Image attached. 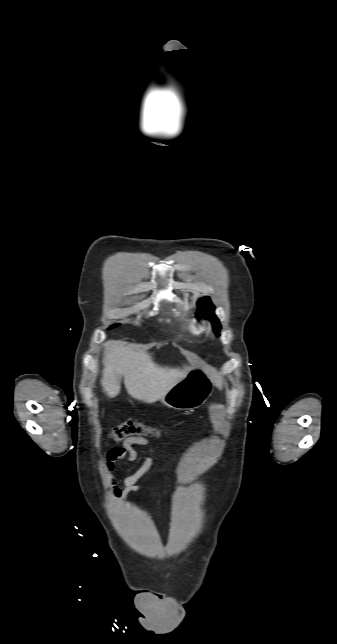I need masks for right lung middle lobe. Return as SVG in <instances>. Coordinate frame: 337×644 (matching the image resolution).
Returning <instances> with one entry per match:
<instances>
[{
	"mask_svg": "<svg viewBox=\"0 0 337 644\" xmlns=\"http://www.w3.org/2000/svg\"><path fill=\"white\" fill-rule=\"evenodd\" d=\"M118 325H119V324H114V325H112L109 329H112V328H114V327H117Z\"/></svg>",
	"mask_w": 337,
	"mask_h": 644,
	"instance_id": "dd1d6c3e",
	"label": "right lung middle lobe"
}]
</instances>
